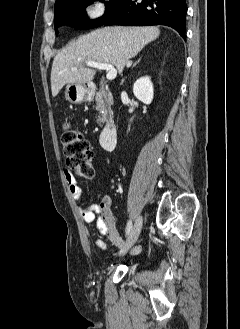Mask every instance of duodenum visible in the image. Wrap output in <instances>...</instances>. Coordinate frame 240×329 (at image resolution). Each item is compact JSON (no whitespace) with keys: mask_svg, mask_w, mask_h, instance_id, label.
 Listing matches in <instances>:
<instances>
[{"mask_svg":"<svg viewBox=\"0 0 240 329\" xmlns=\"http://www.w3.org/2000/svg\"><path fill=\"white\" fill-rule=\"evenodd\" d=\"M95 89H91L88 95V99L92 98V94ZM116 137H117V128L112 125L108 124L104 127L100 135V144L101 147L106 151H112L116 144Z\"/></svg>","mask_w":240,"mask_h":329,"instance_id":"obj_1","label":"duodenum"}]
</instances>
